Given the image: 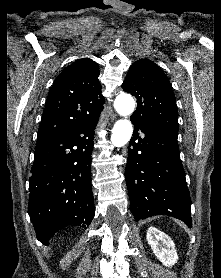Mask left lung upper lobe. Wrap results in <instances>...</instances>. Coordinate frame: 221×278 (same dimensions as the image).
I'll list each match as a JSON object with an SVG mask.
<instances>
[{
  "label": "left lung upper lobe",
  "mask_w": 221,
  "mask_h": 278,
  "mask_svg": "<svg viewBox=\"0 0 221 278\" xmlns=\"http://www.w3.org/2000/svg\"><path fill=\"white\" fill-rule=\"evenodd\" d=\"M122 88L137 99L133 121L150 129L178 130V110L170 81L153 61L140 59L133 63Z\"/></svg>",
  "instance_id": "1"
}]
</instances>
